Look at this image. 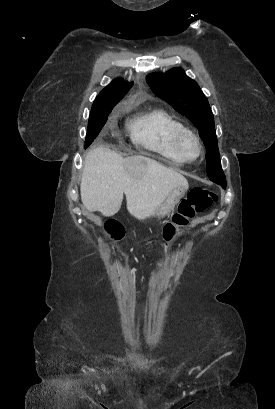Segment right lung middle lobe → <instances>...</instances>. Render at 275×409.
Segmentation results:
<instances>
[{
	"instance_id": "1",
	"label": "right lung middle lobe",
	"mask_w": 275,
	"mask_h": 409,
	"mask_svg": "<svg viewBox=\"0 0 275 409\" xmlns=\"http://www.w3.org/2000/svg\"><path fill=\"white\" fill-rule=\"evenodd\" d=\"M113 108L103 109L98 111H91L87 129V135L85 140V148H87L94 139L98 136L99 132L105 125L108 115Z\"/></svg>"
}]
</instances>
